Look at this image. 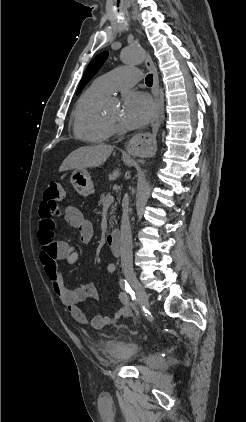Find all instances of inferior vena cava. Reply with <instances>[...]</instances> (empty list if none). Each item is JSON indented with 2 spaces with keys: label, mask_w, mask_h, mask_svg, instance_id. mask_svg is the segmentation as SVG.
<instances>
[{
  "label": "inferior vena cava",
  "mask_w": 246,
  "mask_h": 422,
  "mask_svg": "<svg viewBox=\"0 0 246 422\" xmlns=\"http://www.w3.org/2000/svg\"><path fill=\"white\" fill-rule=\"evenodd\" d=\"M129 199L128 195L125 194L123 199V210L121 220V237H120V250H121V265L125 272H133L132 265V234L129 222Z\"/></svg>",
  "instance_id": "inferior-vena-cava-1"
}]
</instances>
